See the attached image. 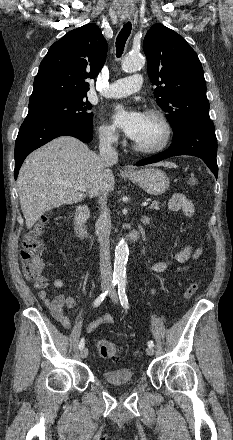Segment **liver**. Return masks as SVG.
<instances>
[{"label":"liver","mask_w":233,"mask_h":440,"mask_svg":"<svg viewBox=\"0 0 233 440\" xmlns=\"http://www.w3.org/2000/svg\"><path fill=\"white\" fill-rule=\"evenodd\" d=\"M166 163H157L163 166ZM100 155L71 136L58 137L32 152L18 179L19 201L26 227L31 229L47 211L81 202L114 189L115 179ZM73 184L82 185L78 191Z\"/></svg>","instance_id":"obj_1"}]
</instances>
